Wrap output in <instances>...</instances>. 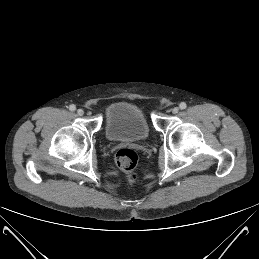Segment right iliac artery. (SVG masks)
Returning <instances> with one entry per match:
<instances>
[{
  "label": "right iliac artery",
  "instance_id": "obj_1",
  "mask_svg": "<svg viewBox=\"0 0 259 259\" xmlns=\"http://www.w3.org/2000/svg\"><path fill=\"white\" fill-rule=\"evenodd\" d=\"M69 110H70V111H75V110H76V106H75L74 104H71V105L69 106Z\"/></svg>",
  "mask_w": 259,
  "mask_h": 259
}]
</instances>
